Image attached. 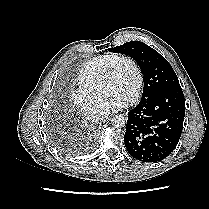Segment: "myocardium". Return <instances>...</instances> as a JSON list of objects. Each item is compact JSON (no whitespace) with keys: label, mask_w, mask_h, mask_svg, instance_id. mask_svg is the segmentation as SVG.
Returning <instances> with one entry per match:
<instances>
[{"label":"myocardium","mask_w":209,"mask_h":209,"mask_svg":"<svg viewBox=\"0 0 209 209\" xmlns=\"http://www.w3.org/2000/svg\"><path fill=\"white\" fill-rule=\"evenodd\" d=\"M122 61L129 62L133 66L135 74H136L135 86H134L129 98L126 100V103H132L137 99V97L139 96V93L141 91L142 84H143V75H142V71H141L137 61L129 55H119L116 59H114L109 64V66L107 67V69L104 73V76H103L102 91L103 92L105 91L107 85L109 84V82L113 78V75L115 73V70H116L118 64Z\"/></svg>","instance_id":"myocardium-1"}]
</instances>
